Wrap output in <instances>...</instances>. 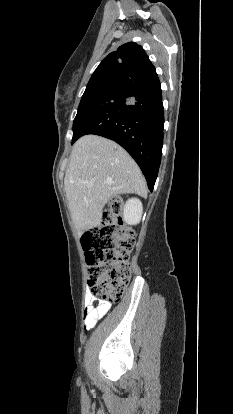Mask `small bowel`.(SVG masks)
I'll return each mask as SVG.
<instances>
[{"label":"small bowel","mask_w":233,"mask_h":414,"mask_svg":"<svg viewBox=\"0 0 233 414\" xmlns=\"http://www.w3.org/2000/svg\"><path fill=\"white\" fill-rule=\"evenodd\" d=\"M86 292L91 293L92 289L87 288ZM95 302L96 299L92 294L86 295L83 321L87 330L92 329L111 308V302L108 300H99L96 305Z\"/></svg>","instance_id":"small-bowel-1"}]
</instances>
